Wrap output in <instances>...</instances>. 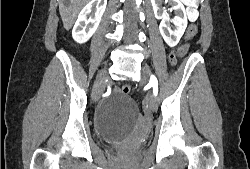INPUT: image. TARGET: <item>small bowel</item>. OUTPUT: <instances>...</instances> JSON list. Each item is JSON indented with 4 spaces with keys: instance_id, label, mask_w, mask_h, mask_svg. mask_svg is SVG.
<instances>
[{
    "instance_id": "1",
    "label": "small bowel",
    "mask_w": 250,
    "mask_h": 169,
    "mask_svg": "<svg viewBox=\"0 0 250 169\" xmlns=\"http://www.w3.org/2000/svg\"><path fill=\"white\" fill-rule=\"evenodd\" d=\"M185 51H186V47L180 48L179 55H183L185 53Z\"/></svg>"
}]
</instances>
